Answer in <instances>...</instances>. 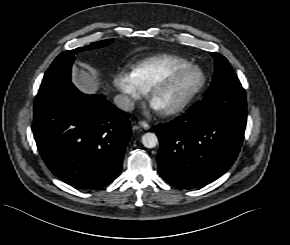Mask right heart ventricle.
<instances>
[{
  "label": "right heart ventricle",
  "mask_w": 290,
  "mask_h": 245,
  "mask_svg": "<svg viewBox=\"0 0 290 245\" xmlns=\"http://www.w3.org/2000/svg\"><path fill=\"white\" fill-rule=\"evenodd\" d=\"M189 64L187 59L180 56L160 55L137 64L133 67L132 74L138 85L144 91H148L151 84L160 76Z\"/></svg>",
  "instance_id": "1"
}]
</instances>
